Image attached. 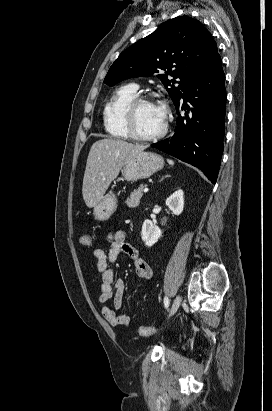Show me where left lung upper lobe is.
Returning a JSON list of instances; mask_svg holds the SVG:
<instances>
[{
    "mask_svg": "<svg viewBox=\"0 0 272 411\" xmlns=\"http://www.w3.org/2000/svg\"><path fill=\"white\" fill-rule=\"evenodd\" d=\"M217 54L216 42L198 20L179 16L123 51L104 83L113 86L131 77H148L167 70L157 77L176 105Z\"/></svg>",
    "mask_w": 272,
    "mask_h": 411,
    "instance_id": "1",
    "label": "left lung upper lobe"
}]
</instances>
